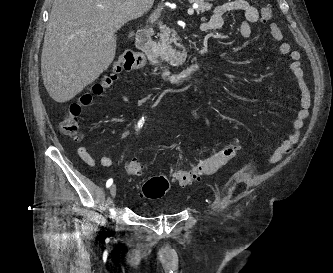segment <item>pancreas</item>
Wrapping results in <instances>:
<instances>
[{
  "label": "pancreas",
  "instance_id": "cf45deb5",
  "mask_svg": "<svg viewBox=\"0 0 333 273\" xmlns=\"http://www.w3.org/2000/svg\"><path fill=\"white\" fill-rule=\"evenodd\" d=\"M198 5L197 12H205L211 9L212 4L204 0H190ZM180 38L169 28H163L160 33V40L157 44V50L162 60L169 62L172 66H180L186 59L185 51L179 52L172 46L174 43L177 47H181Z\"/></svg>",
  "mask_w": 333,
  "mask_h": 273
}]
</instances>
